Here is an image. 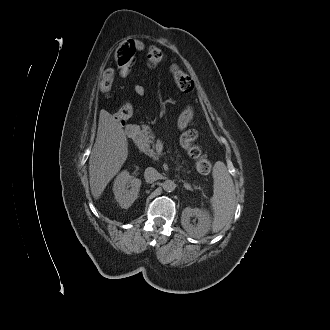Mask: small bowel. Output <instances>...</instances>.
<instances>
[{
	"label": "small bowel",
	"mask_w": 330,
	"mask_h": 330,
	"mask_svg": "<svg viewBox=\"0 0 330 330\" xmlns=\"http://www.w3.org/2000/svg\"><path fill=\"white\" fill-rule=\"evenodd\" d=\"M135 47V50H142L144 48V44L140 40H134L132 41ZM134 67V60L130 62L129 64L125 66H119L118 74L120 77H127L133 70ZM134 91L138 96H143L146 92L145 87L141 84H137L134 87ZM131 111H132V106L129 104ZM118 115L122 121H126L127 119L130 118L129 115V107L128 105L124 104L119 110H118Z\"/></svg>",
	"instance_id": "1"
}]
</instances>
